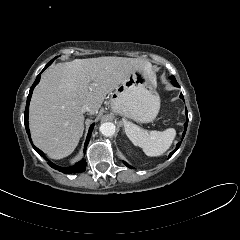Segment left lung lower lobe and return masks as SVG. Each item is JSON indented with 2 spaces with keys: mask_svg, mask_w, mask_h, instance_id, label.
Listing matches in <instances>:
<instances>
[{
  "mask_svg": "<svg viewBox=\"0 0 240 240\" xmlns=\"http://www.w3.org/2000/svg\"><path fill=\"white\" fill-rule=\"evenodd\" d=\"M170 78H171V80H172V84H173L174 86H176V87H179V85H178V83L176 82V79L174 78V76H171ZM180 97L184 100L182 93L180 94ZM186 116H187V121H186V123L184 124V126H185V131L183 132V137H184V135H185L186 128H187V124H188L187 109H186ZM180 144H181V142H179V143L177 144L176 149L170 153L169 157H171V156L174 154V152L179 148ZM124 164H125L127 167H129V165H128L126 162H124Z\"/></svg>",
  "mask_w": 240,
  "mask_h": 240,
  "instance_id": "left-lung-lower-lobe-1",
  "label": "left lung lower lobe"
}]
</instances>
